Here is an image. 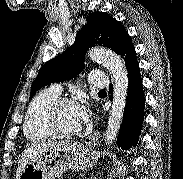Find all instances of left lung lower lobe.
Listing matches in <instances>:
<instances>
[{
  "label": "left lung lower lobe",
  "instance_id": "left-lung-lower-lobe-1",
  "mask_svg": "<svg viewBox=\"0 0 183 179\" xmlns=\"http://www.w3.org/2000/svg\"><path fill=\"white\" fill-rule=\"evenodd\" d=\"M116 53L124 58L128 71V97L120 127L117 144L122 149H130L137 145L144 120L145 98L136 52L126 32L122 37Z\"/></svg>",
  "mask_w": 183,
  "mask_h": 179
}]
</instances>
